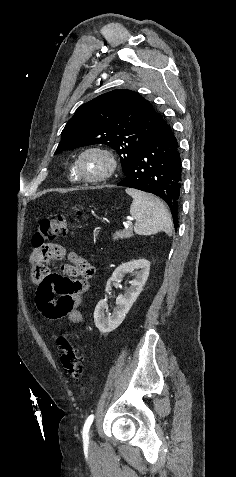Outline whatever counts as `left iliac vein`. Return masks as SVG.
<instances>
[{
  "mask_svg": "<svg viewBox=\"0 0 236 477\" xmlns=\"http://www.w3.org/2000/svg\"><path fill=\"white\" fill-rule=\"evenodd\" d=\"M91 435H92V432H91ZM90 446H91V447H96V443H95L93 440H91V441H90Z\"/></svg>",
  "mask_w": 236,
  "mask_h": 477,
  "instance_id": "1",
  "label": "left iliac vein"
}]
</instances>
